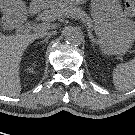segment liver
I'll return each instance as SVG.
<instances>
[{
    "mask_svg": "<svg viewBox=\"0 0 135 135\" xmlns=\"http://www.w3.org/2000/svg\"><path fill=\"white\" fill-rule=\"evenodd\" d=\"M38 36L0 34V94L15 97L20 93V62L26 48Z\"/></svg>",
    "mask_w": 135,
    "mask_h": 135,
    "instance_id": "liver-1",
    "label": "liver"
}]
</instances>
